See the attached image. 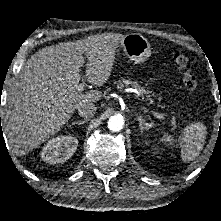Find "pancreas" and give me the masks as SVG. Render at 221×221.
Here are the masks:
<instances>
[{"mask_svg": "<svg viewBox=\"0 0 221 221\" xmlns=\"http://www.w3.org/2000/svg\"><path fill=\"white\" fill-rule=\"evenodd\" d=\"M128 85H132L134 88L138 89L142 95H145L146 97H150L151 92L146 90L144 87H142L139 82L131 81L130 79H125V78L118 80V83H117L118 88L127 87ZM173 124H175L174 118H173Z\"/></svg>", "mask_w": 221, "mask_h": 221, "instance_id": "1", "label": "pancreas"}]
</instances>
